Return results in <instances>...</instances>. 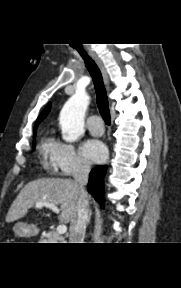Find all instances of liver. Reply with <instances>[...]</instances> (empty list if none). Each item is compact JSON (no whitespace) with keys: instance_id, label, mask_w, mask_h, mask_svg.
I'll list each match as a JSON object with an SVG mask.
<instances>
[{"instance_id":"liver-1","label":"liver","mask_w":181,"mask_h":288,"mask_svg":"<svg viewBox=\"0 0 181 288\" xmlns=\"http://www.w3.org/2000/svg\"><path fill=\"white\" fill-rule=\"evenodd\" d=\"M78 198V188L71 179L34 180L26 184L14 200L7 213L6 222L11 223L24 217L29 208L37 202H48L60 206V222L71 223L77 214Z\"/></svg>"}]
</instances>
